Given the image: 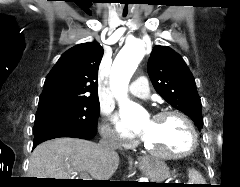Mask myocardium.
Returning <instances> with one entry per match:
<instances>
[{"instance_id":"myocardium-1","label":"myocardium","mask_w":240,"mask_h":187,"mask_svg":"<svg viewBox=\"0 0 240 187\" xmlns=\"http://www.w3.org/2000/svg\"><path fill=\"white\" fill-rule=\"evenodd\" d=\"M167 116H175L179 118L181 122L185 125L190 138V142L187 149L181 152H160L151 149L147 142H144L143 145L144 150L148 154H151L160 159H180L191 155L196 150L198 145V136L194 124L186 114L176 109L161 110L154 115L153 120H160Z\"/></svg>"}]
</instances>
